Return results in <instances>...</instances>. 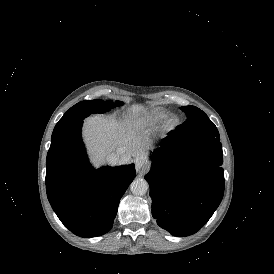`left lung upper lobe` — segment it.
Segmentation results:
<instances>
[{
  "label": "left lung upper lobe",
  "mask_w": 274,
  "mask_h": 274,
  "mask_svg": "<svg viewBox=\"0 0 274 274\" xmlns=\"http://www.w3.org/2000/svg\"><path fill=\"white\" fill-rule=\"evenodd\" d=\"M181 109L187 114L184 124L177 127V131L186 135H219L216 126L208 116L195 106H184Z\"/></svg>",
  "instance_id": "5c2ea615"
}]
</instances>
